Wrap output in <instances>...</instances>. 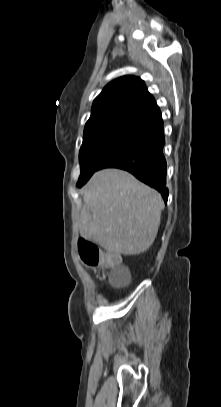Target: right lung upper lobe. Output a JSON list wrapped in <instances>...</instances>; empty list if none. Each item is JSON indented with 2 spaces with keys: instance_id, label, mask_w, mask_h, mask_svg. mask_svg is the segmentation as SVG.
Here are the masks:
<instances>
[{
  "instance_id": "right-lung-upper-lobe-1",
  "label": "right lung upper lobe",
  "mask_w": 221,
  "mask_h": 407,
  "mask_svg": "<svg viewBox=\"0 0 221 407\" xmlns=\"http://www.w3.org/2000/svg\"><path fill=\"white\" fill-rule=\"evenodd\" d=\"M159 113L153 96L140 78L121 77L109 83L94 100L84 135L118 125L139 127Z\"/></svg>"
}]
</instances>
